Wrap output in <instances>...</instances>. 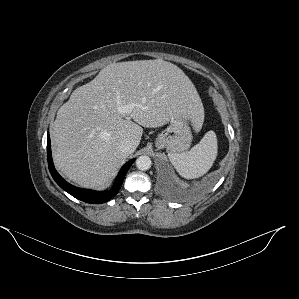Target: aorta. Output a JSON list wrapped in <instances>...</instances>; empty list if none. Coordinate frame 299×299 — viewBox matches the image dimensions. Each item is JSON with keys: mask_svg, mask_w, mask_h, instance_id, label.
I'll return each mask as SVG.
<instances>
[{"mask_svg": "<svg viewBox=\"0 0 299 299\" xmlns=\"http://www.w3.org/2000/svg\"><path fill=\"white\" fill-rule=\"evenodd\" d=\"M136 166L139 170L145 171L151 167V159L146 155L139 156L136 159Z\"/></svg>", "mask_w": 299, "mask_h": 299, "instance_id": "obj_1", "label": "aorta"}]
</instances>
